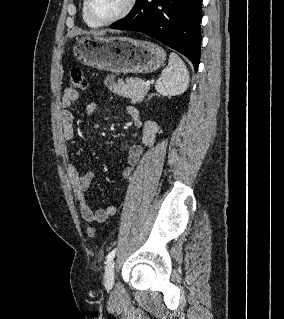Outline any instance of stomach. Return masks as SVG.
<instances>
[{
  "label": "stomach",
  "instance_id": "1",
  "mask_svg": "<svg viewBox=\"0 0 284 319\" xmlns=\"http://www.w3.org/2000/svg\"><path fill=\"white\" fill-rule=\"evenodd\" d=\"M73 53L84 65L115 74L152 73L166 60L158 45L129 37H81Z\"/></svg>",
  "mask_w": 284,
  "mask_h": 319
}]
</instances>
